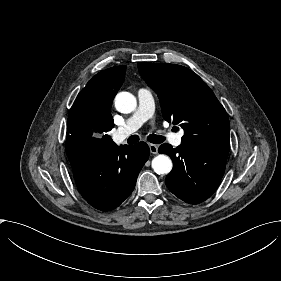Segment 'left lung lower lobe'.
<instances>
[{
    "mask_svg": "<svg viewBox=\"0 0 281 281\" xmlns=\"http://www.w3.org/2000/svg\"><path fill=\"white\" fill-rule=\"evenodd\" d=\"M230 146L184 145L173 148L162 144L159 152L170 156L173 170L166 186L181 200L197 204L208 199L217 189L226 167Z\"/></svg>",
    "mask_w": 281,
    "mask_h": 281,
    "instance_id": "0a47b994",
    "label": "left lung lower lobe"
}]
</instances>
